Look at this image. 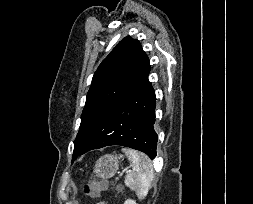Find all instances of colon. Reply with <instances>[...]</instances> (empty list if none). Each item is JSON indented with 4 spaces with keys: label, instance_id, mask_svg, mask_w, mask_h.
<instances>
[{
    "label": "colon",
    "instance_id": "5ec220e1",
    "mask_svg": "<svg viewBox=\"0 0 253 204\" xmlns=\"http://www.w3.org/2000/svg\"><path fill=\"white\" fill-rule=\"evenodd\" d=\"M104 188V182L97 180L94 176H91L90 182L84 185L82 192L86 197L96 198Z\"/></svg>",
    "mask_w": 253,
    "mask_h": 204
}]
</instances>
